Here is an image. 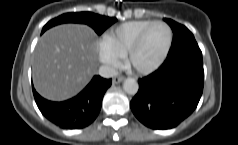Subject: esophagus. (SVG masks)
I'll list each match as a JSON object with an SVG mask.
<instances>
[{
    "instance_id": "esophagus-1",
    "label": "esophagus",
    "mask_w": 238,
    "mask_h": 145,
    "mask_svg": "<svg viewBox=\"0 0 238 145\" xmlns=\"http://www.w3.org/2000/svg\"><path fill=\"white\" fill-rule=\"evenodd\" d=\"M123 80H124V77H122V76H117V77H114V78H113L112 82H113V84H119V83H121Z\"/></svg>"
}]
</instances>
